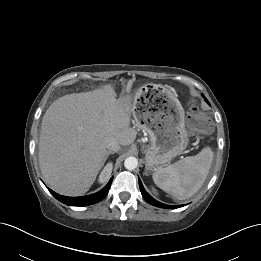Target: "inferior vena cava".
I'll return each instance as SVG.
<instances>
[{
    "label": "inferior vena cava",
    "instance_id": "inferior-vena-cava-1",
    "mask_svg": "<svg viewBox=\"0 0 261 261\" xmlns=\"http://www.w3.org/2000/svg\"><path fill=\"white\" fill-rule=\"evenodd\" d=\"M106 149L112 152H118L120 150V144L114 137H109L104 141Z\"/></svg>",
    "mask_w": 261,
    "mask_h": 261
}]
</instances>
